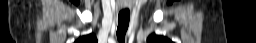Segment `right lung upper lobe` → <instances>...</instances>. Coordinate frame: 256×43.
I'll return each instance as SVG.
<instances>
[{
  "label": "right lung upper lobe",
  "instance_id": "right-lung-upper-lobe-1",
  "mask_svg": "<svg viewBox=\"0 0 256 43\" xmlns=\"http://www.w3.org/2000/svg\"><path fill=\"white\" fill-rule=\"evenodd\" d=\"M75 43H97V39L94 34H89L79 38Z\"/></svg>",
  "mask_w": 256,
  "mask_h": 43
}]
</instances>
